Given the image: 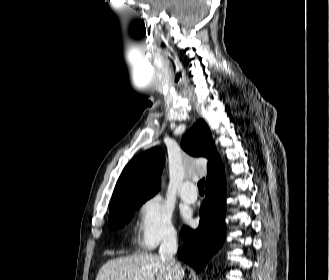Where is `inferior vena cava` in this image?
Returning <instances> with one entry per match:
<instances>
[{"instance_id": "1", "label": "inferior vena cava", "mask_w": 329, "mask_h": 280, "mask_svg": "<svg viewBox=\"0 0 329 280\" xmlns=\"http://www.w3.org/2000/svg\"><path fill=\"white\" fill-rule=\"evenodd\" d=\"M177 249V234L175 231H170L162 240L159 248V255L161 260L164 261L172 271H174L175 280H182L183 270L174 258Z\"/></svg>"}]
</instances>
